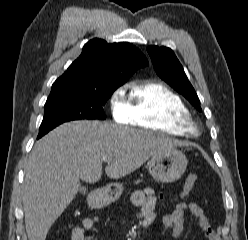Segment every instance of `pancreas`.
<instances>
[{"label":"pancreas","instance_id":"1","mask_svg":"<svg viewBox=\"0 0 248 240\" xmlns=\"http://www.w3.org/2000/svg\"><path fill=\"white\" fill-rule=\"evenodd\" d=\"M140 182H141V181H140V180H138V181H136V182H135V184H139Z\"/></svg>","mask_w":248,"mask_h":240}]
</instances>
